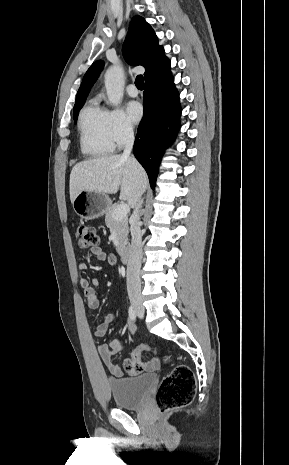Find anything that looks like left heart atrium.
<instances>
[{"label":"left heart atrium","mask_w":289,"mask_h":465,"mask_svg":"<svg viewBox=\"0 0 289 465\" xmlns=\"http://www.w3.org/2000/svg\"><path fill=\"white\" fill-rule=\"evenodd\" d=\"M127 113L132 122L138 123L143 117V107L137 101L129 102L127 105Z\"/></svg>","instance_id":"obj_1"}]
</instances>
